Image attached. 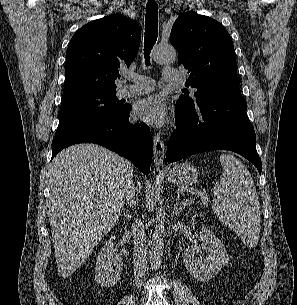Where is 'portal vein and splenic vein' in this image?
Returning a JSON list of instances; mask_svg holds the SVG:
<instances>
[{"label": "portal vein and splenic vein", "instance_id": "1", "mask_svg": "<svg viewBox=\"0 0 297 305\" xmlns=\"http://www.w3.org/2000/svg\"><path fill=\"white\" fill-rule=\"evenodd\" d=\"M196 194H197L204 202H207L208 197L205 195L204 192L198 191V192H196Z\"/></svg>", "mask_w": 297, "mask_h": 305}]
</instances>
